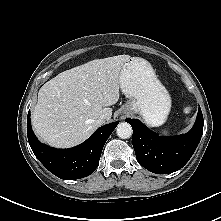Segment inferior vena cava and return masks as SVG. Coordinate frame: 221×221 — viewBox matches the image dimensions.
<instances>
[{
  "mask_svg": "<svg viewBox=\"0 0 221 221\" xmlns=\"http://www.w3.org/2000/svg\"><path fill=\"white\" fill-rule=\"evenodd\" d=\"M97 122L102 125L104 122H105V116L104 115H101L98 119H97Z\"/></svg>",
  "mask_w": 221,
  "mask_h": 221,
  "instance_id": "inferior-vena-cava-1",
  "label": "inferior vena cava"
}]
</instances>
